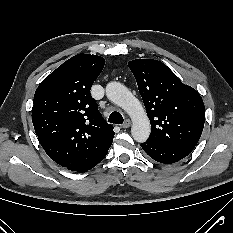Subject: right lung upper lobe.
I'll return each mask as SVG.
<instances>
[{
	"label": "right lung upper lobe",
	"mask_w": 233,
	"mask_h": 233,
	"mask_svg": "<svg viewBox=\"0 0 233 233\" xmlns=\"http://www.w3.org/2000/svg\"><path fill=\"white\" fill-rule=\"evenodd\" d=\"M105 60L78 54L38 86L32 122L47 155L62 167L81 172L103 158L115 132L98 110L90 89Z\"/></svg>",
	"instance_id": "1"
}]
</instances>
